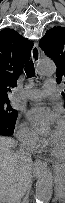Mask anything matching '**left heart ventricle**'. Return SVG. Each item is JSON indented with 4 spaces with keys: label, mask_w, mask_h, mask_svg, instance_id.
<instances>
[{
    "label": "left heart ventricle",
    "mask_w": 65,
    "mask_h": 203,
    "mask_svg": "<svg viewBox=\"0 0 65 203\" xmlns=\"http://www.w3.org/2000/svg\"><path fill=\"white\" fill-rule=\"evenodd\" d=\"M50 142L59 153L65 151V125L62 124L58 132L51 137Z\"/></svg>",
    "instance_id": "1"
}]
</instances>
